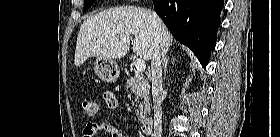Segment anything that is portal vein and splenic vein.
<instances>
[{"instance_id": "portal-vein-and-splenic-vein-1", "label": "portal vein and splenic vein", "mask_w": 280, "mask_h": 137, "mask_svg": "<svg viewBox=\"0 0 280 137\" xmlns=\"http://www.w3.org/2000/svg\"><path fill=\"white\" fill-rule=\"evenodd\" d=\"M135 68H136V71L137 73H142L145 71L146 69V64H145V61L143 59H136L135 60Z\"/></svg>"}]
</instances>
